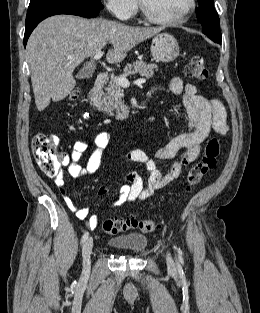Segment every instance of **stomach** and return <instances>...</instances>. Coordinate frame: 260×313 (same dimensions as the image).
Listing matches in <instances>:
<instances>
[{
  "instance_id": "obj_1",
  "label": "stomach",
  "mask_w": 260,
  "mask_h": 313,
  "mask_svg": "<svg viewBox=\"0 0 260 313\" xmlns=\"http://www.w3.org/2000/svg\"><path fill=\"white\" fill-rule=\"evenodd\" d=\"M151 53L157 61L171 62L179 56V45L169 33L157 34L151 43Z\"/></svg>"
}]
</instances>
